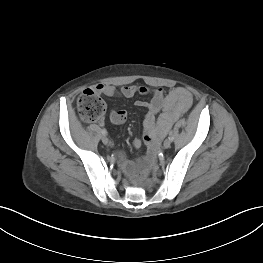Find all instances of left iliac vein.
I'll return each instance as SVG.
<instances>
[{
  "instance_id": "left-iliac-vein-1",
  "label": "left iliac vein",
  "mask_w": 263,
  "mask_h": 263,
  "mask_svg": "<svg viewBox=\"0 0 263 263\" xmlns=\"http://www.w3.org/2000/svg\"><path fill=\"white\" fill-rule=\"evenodd\" d=\"M170 146H171V140L166 139V140L164 141V143H163V147H164L165 149H168Z\"/></svg>"
}]
</instances>
